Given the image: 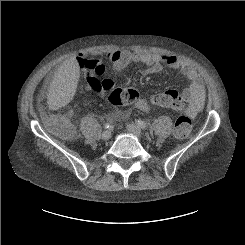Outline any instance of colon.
Wrapping results in <instances>:
<instances>
[{
	"instance_id": "colon-1",
	"label": "colon",
	"mask_w": 245,
	"mask_h": 245,
	"mask_svg": "<svg viewBox=\"0 0 245 245\" xmlns=\"http://www.w3.org/2000/svg\"><path fill=\"white\" fill-rule=\"evenodd\" d=\"M76 61L84 75H98L104 69V66L97 60L77 57ZM91 87L95 92L105 93L109 103L115 107L135 101L137 98V91L133 86L113 88L101 80L93 78ZM150 97L155 105L172 109L178 113L173 131L174 136L178 139L187 138L191 132L192 122L185 114L186 106L181 95L175 90H165L156 92ZM69 116V107L67 105L60 106L48 115L46 120L48 130L61 138H71L74 135V129L68 121Z\"/></svg>"
}]
</instances>
